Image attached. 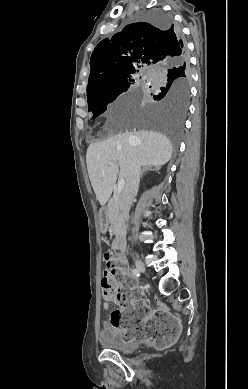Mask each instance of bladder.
<instances>
[{
  "instance_id": "1",
  "label": "bladder",
  "mask_w": 248,
  "mask_h": 389,
  "mask_svg": "<svg viewBox=\"0 0 248 389\" xmlns=\"http://www.w3.org/2000/svg\"><path fill=\"white\" fill-rule=\"evenodd\" d=\"M100 343L105 349L121 354L133 353L140 347L139 342L124 340L119 331L102 332L100 334Z\"/></svg>"
}]
</instances>
